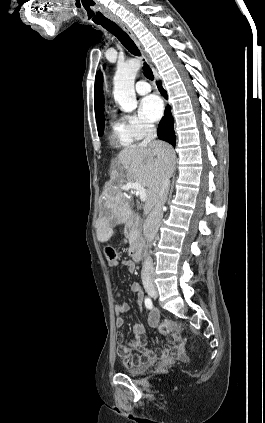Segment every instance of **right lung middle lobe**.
Wrapping results in <instances>:
<instances>
[{
  "label": "right lung middle lobe",
  "instance_id": "obj_1",
  "mask_svg": "<svg viewBox=\"0 0 265 423\" xmlns=\"http://www.w3.org/2000/svg\"><path fill=\"white\" fill-rule=\"evenodd\" d=\"M103 117H101L98 121H97V128H98V134L99 136L103 135V130H104V122H103Z\"/></svg>",
  "mask_w": 265,
  "mask_h": 423
}]
</instances>
